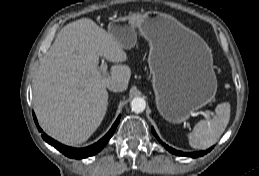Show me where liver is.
<instances>
[{
    "instance_id": "obj_1",
    "label": "liver",
    "mask_w": 259,
    "mask_h": 176,
    "mask_svg": "<svg viewBox=\"0 0 259 176\" xmlns=\"http://www.w3.org/2000/svg\"><path fill=\"white\" fill-rule=\"evenodd\" d=\"M99 57L116 63L110 74ZM123 46L91 19L64 26L40 61L33 83V102L42 128L67 144L85 142L101 124L111 83L125 91L131 77Z\"/></svg>"
}]
</instances>
